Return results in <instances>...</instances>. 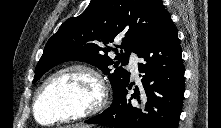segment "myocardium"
<instances>
[{"instance_id":"obj_1","label":"myocardium","mask_w":221,"mask_h":128,"mask_svg":"<svg viewBox=\"0 0 221 128\" xmlns=\"http://www.w3.org/2000/svg\"><path fill=\"white\" fill-rule=\"evenodd\" d=\"M67 72H79L87 77H89L93 81L94 85V94L92 100L89 102L88 105H86L81 111L79 112H73L68 113L63 116L57 117L54 120L48 122V123H42L37 118V105L40 101V98L47 87V85L56 77H58L61 74L67 73ZM107 101V88L105 85V82L101 76V74L95 70L93 67L81 63H75L71 65H67L65 67H62L58 69L57 71L50 74L39 86L33 100V116L35 120L40 123L47 126L56 125L60 123H68L77 121L80 119H83L87 116L95 115L98 112H100L103 107L105 106Z\"/></svg>"}]
</instances>
